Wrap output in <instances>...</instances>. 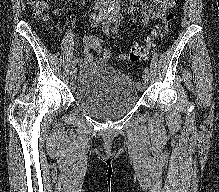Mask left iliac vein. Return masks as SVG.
<instances>
[{
  "label": "left iliac vein",
  "instance_id": "4c4485c4",
  "mask_svg": "<svg viewBox=\"0 0 219 192\" xmlns=\"http://www.w3.org/2000/svg\"><path fill=\"white\" fill-rule=\"evenodd\" d=\"M111 18H112L111 15H107L103 21V24H109L111 22ZM142 80H143V83L139 84V87H138L140 91L145 89V87L147 86L149 82V74H143Z\"/></svg>",
  "mask_w": 219,
  "mask_h": 192
}]
</instances>
